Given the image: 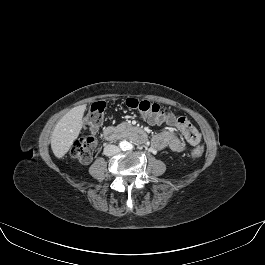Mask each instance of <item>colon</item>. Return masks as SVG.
I'll list each match as a JSON object with an SVG mask.
<instances>
[{
    "label": "colon",
    "instance_id": "obj_1",
    "mask_svg": "<svg viewBox=\"0 0 265 265\" xmlns=\"http://www.w3.org/2000/svg\"><path fill=\"white\" fill-rule=\"evenodd\" d=\"M125 105L130 109L137 110L144 115L155 116L158 118H166L172 115L170 110L162 108L159 104L152 103L147 100L129 98L125 100ZM104 112V102L99 101L91 105L88 113L85 116V122L90 130V134L77 140L73 144L70 150V156L73 159L78 160L81 163H88L92 159L93 153L97 146L95 131L103 121ZM202 154L203 149L201 147H195L190 152V156L193 159L200 158Z\"/></svg>",
    "mask_w": 265,
    "mask_h": 265
}]
</instances>
